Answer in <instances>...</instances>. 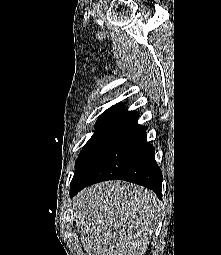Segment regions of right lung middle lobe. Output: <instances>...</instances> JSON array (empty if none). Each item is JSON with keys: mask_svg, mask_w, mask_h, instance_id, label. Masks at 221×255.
Here are the masks:
<instances>
[{"mask_svg": "<svg viewBox=\"0 0 221 255\" xmlns=\"http://www.w3.org/2000/svg\"><path fill=\"white\" fill-rule=\"evenodd\" d=\"M116 110L114 109H108L106 110L98 119L95 127L97 128V130L95 131L94 135L89 139V141L86 143V145L84 146L83 150L80 152L77 162L76 164H78V162L80 161V159L82 158V156L84 155V153L86 152L87 148L89 147V145L91 144V142L93 141V139L95 138V136L97 135V133L100 131V129L106 124V122L110 119V117L115 113Z\"/></svg>", "mask_w": 221, "mask_h": 255, "instance_id": "1", "label": "right lung middle lobe"}]
</instances>
